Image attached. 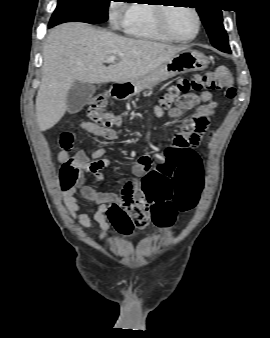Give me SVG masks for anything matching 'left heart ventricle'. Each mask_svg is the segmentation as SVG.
<instances>
[{"instance_id":"left-heart-ventricle-1","label":"left heart ventricle","mask_w":270,"mask_h":338,"mask_svg":"<svg viewBox=\"0 0 270 338\" xmlns=\"http://www.w3.org/2000/svg\"><path fill=\"white\" fill-rule=\"evenodd\" d=\"M170 31L178 38H189L196 30V17L186 7H172L167 12Z\"/></svg>"}]
</instances>
